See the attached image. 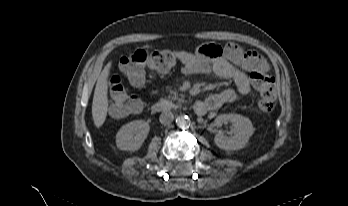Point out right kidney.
I'll list each match as a JSON object with an SVG mask.
<instances>
[{
    "label": "right kidney",
    "mask_w": 348,
    "mask_h": 206,
    "mask_svg": "<svg viewBox=\"0 0 348 206\" xmlns=\"http://www.w3.org/2000/svg\"><path fill=\"white\" fill-rule=\"evenodd\" d=\"M150 126L143 120H134L123 125L116 134V145L120 150H138L149 133Z\"/></svg>",
    "instance_id": "ca27d5eb"
}]
</instances>
